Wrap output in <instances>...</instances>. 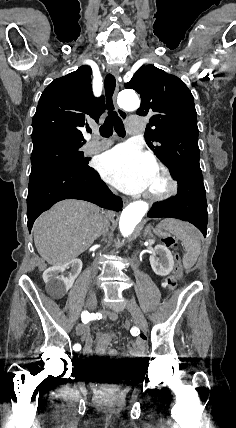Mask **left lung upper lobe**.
<instances>
[{
  "mask_svg": "<svg viewBox=\"0 0 236 428\" xmlns=\"http://www.w3.org/2000/svg\"><path fill=\"white\" fill-rule=\"evenodd\" d=\"M125 88L141 96L140 116L149 119L148 145L169 169L201 172L199 164L197 113L185 83L153 65H143ZM155 126V129L150 127ZM158 142V145L149 143Z\"/></svg>",
  "mask_w": 236,
  "mask_h": 428,
  "instance_id": "5c2ea615",
  "label": "left lung upper lobe"
}]
</instances>
